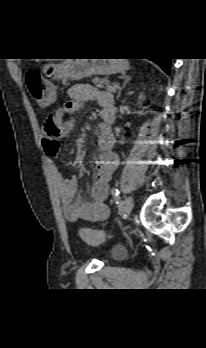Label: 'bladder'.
<instances>
[{
	"instance_id": "1",
	"label": "bladder",
	"mask_w": 206,
	"mask_h": 348,
	"mask_svg": "<svg viewBox=\"0 0 206 348\" xmlns=\"http://www.w3.org/2000/svg\"><path fill=\"white\" fill-rule=\"evenodd\" d=\"M126 255V251L123 248H114L110 252V258L120 259Z\"/></svg>"
}]
</instances>
